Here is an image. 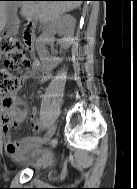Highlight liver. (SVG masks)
<instances>
[{
	"instance_id": "obj_1",
	"label": "liver",
	"mask_w": 137,
	"mask_h": 189,
	"mask_svg": "<svg viewBox=\"0 0 137 189\" xmlns=\"http://www.w3.org/2000/svg\"><path fill=\"white\" fill-rule=\"evenodd\" d=\"M12 3L0 1V33L7 22L6 9ZM80 5L81 1H23L21 2V15L30 20H39L41 24L46 25Z\"/></svg>"
}]
</instances>
